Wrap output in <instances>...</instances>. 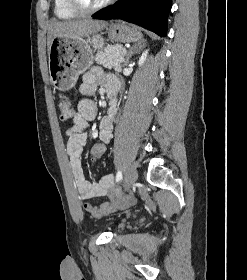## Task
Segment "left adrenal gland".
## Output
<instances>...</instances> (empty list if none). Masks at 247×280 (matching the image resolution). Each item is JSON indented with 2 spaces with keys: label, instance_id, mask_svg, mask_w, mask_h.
<instances>
[{
  "label": "left adrenal gland",
  "instance_id": "left-adrenal-gland-1",
  "mask_svg": "<svg viewBox=\"0 0 247 280\" xmlns=\"http://www.w3.org/2000/svg\"><path fill=\"white\" fill-rule=\"evenodd\" d=\"M146 41L143 39L141 41H139L138 43H135L128 51L127 53V57H126V60H125V63H124V66H127L128 63H129V59L131 58V56L138 52L139 50H141L143 47H145Z\"/></svg>",
  "mask_w": 247,
  "mask_h": 280
}]
</instances>
